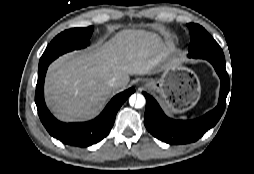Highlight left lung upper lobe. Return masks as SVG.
Masks as SVG:
<instances>
[{
  "mask_svg": "<svg viewBox=\"0 0 254 174\" xmlns=\"http://www.w3.org/2000/svg\"><path fill=\"white\" fill-rule=\"evenodd\" d=\"M187 26L191 39L189 57L225 60L220 46L202 26L194 23H189Z\"/></svg>",
  "mask_w": 254,
  "mask_h": 174,
  "instance_id": "obj_1",
  "label": "left lung upper lobe"
}]
</instances>
